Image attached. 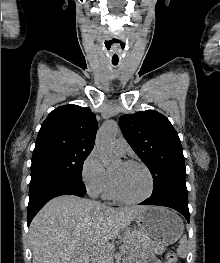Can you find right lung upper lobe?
<instances>
[{
	"mask_svg": "<svg viewBox=\"0 0 220 263\" xmlns=\"http://www.w3.org/2000/svg\"><path fill=\"white\" fill-rule=\"evenodd\" d=\"M96 131V117L89 108L72 104L60 106L43 122L33 152L50 148L92 150Z\"/></svg>",
	"mask_w": 220,
	"mask_h": 263,
	"instance_id": "obj_1",
	"label": "right lung upper lobe"
}]
</instances>
